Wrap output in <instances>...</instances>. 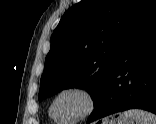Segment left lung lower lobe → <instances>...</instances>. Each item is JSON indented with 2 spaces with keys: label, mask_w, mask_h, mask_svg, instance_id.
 Instances as JSON below:
<instances>
[{
  "label": "left lung lower lobe",
  "mask_w": 156,
  "mask_h": 124,
  "mask_svg": "<svg viewBox=\"0 0 156 124\" xmlns=\"http://www.w3.org/2000/svg\"><path fill=\"white\" fill-rule=\"evenodd\" d=\"M133 108L156 114V8L123 50L87 123Z\"/></svg>",
  "instance_id": "1"
}]
</instances>
